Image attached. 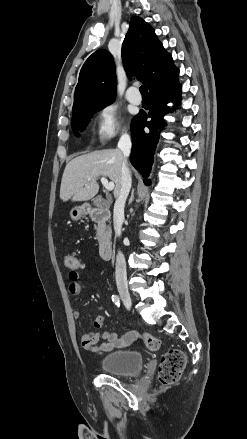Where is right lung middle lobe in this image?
Instances as JSON below:
<instances>
[{
	"label": "right lung middle lobe",
	"instance_id": "obj_1",
	"mask_svg": "<svg viewBox=\"0 0 247 439\" xmlns=\"http://www.w3.org/2000/svg\"><path fill=\"white\" fill-rule=\"evenodd\" d=\"M111 104V103H110ZM109 105V104H107ZM107 105L95 108V109H90V110H86L84 112H81L77 115H74L71 121L72 124V129L74 130L75 134H78V129L80 131L83 130V128L88 124L90 117L98 112L99 110H102L104 107H106Z\"/></svg>",
	"mask_w": 247,
	"mask_h": 439
}]
</instances>
